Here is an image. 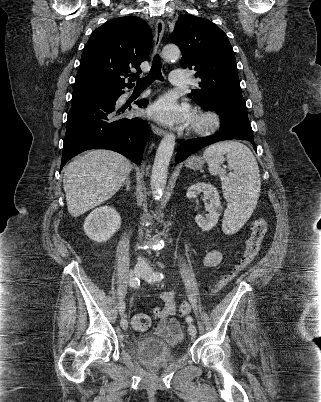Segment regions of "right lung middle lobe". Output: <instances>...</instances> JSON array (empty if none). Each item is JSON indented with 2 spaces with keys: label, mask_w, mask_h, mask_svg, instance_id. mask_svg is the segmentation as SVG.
Returning <instances> with one entry per match:
<instances>
[{
  "label": "right lung middle lobe",
  "mask_w": 321,
  "mask_h": 402,
  "mask_svg": "<svg viewBox=\"0 0 321 402\" xmlns=\"http://www.w3.org/2000/svg\"><path fill=\"white\" fill-rule=\"evenodd\" d=\"M117 89L103 85L84 84L75 85L72 93V100L92 98L108 100L116 94Z\"/></svg>",
  "instance_id": "right-lung-middle-lobe-1"
}]
</instances>
